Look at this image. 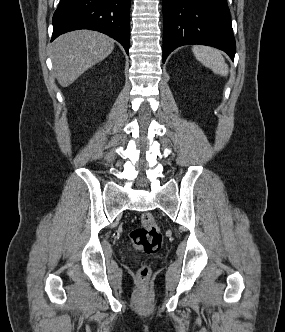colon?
Instances as JSON below:
<instances>
[{
  "label": "colon",
  "instance_id": "colon-1",
  "mask_svg": "<svg viewBox=\"0 0 285 332\" xmlns=\"http://www.w3.org/2000/svg\"><path fill=\"white\" fill-rule=\"evenodd\" d=\"M131 241L137 249L147 253H157L162 245V234L160 228L156 224L154 217L145 213L141 217V225L130 231ZM150 275V268L143 265L138 270V277L141 281L148 279Z\"/></svg>",
  "mask_w": 285,
  "mask_h": 332
}]
</instances>
